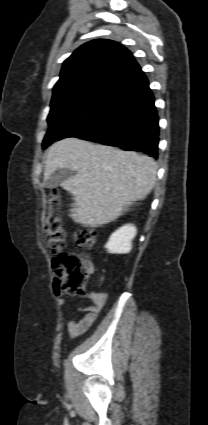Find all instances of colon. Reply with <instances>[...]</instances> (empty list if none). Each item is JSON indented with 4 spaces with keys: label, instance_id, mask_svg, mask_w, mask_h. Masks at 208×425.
<instances>
[{
    "label": "colon",
    "instance_id": "colon-1",
    "mask_svg": "<svg viewBox=\"0 0 208 425\" xmlns=\"http://www.w3.org/2000/svg\"><path fill=\"white\" fill-rule=\"evenodd\" d=\"M58 191L52 190L49 196V211L44 219V245L53 255V268L61 280L62 291L78 297L86 296V286L91 269L89 258L83 253L65 249V230L57 214ZM97 232L92 228H78L73 233L75 246L87 251L97 243Z\"/></svg>",
    "mask_w": 208,
    "mask_h": 425
}]
</instances>
